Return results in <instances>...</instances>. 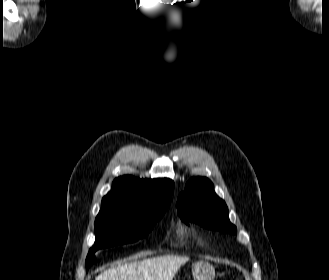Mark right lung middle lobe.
<instances>
[{
  "instance_id": "right-lung-middle-lobe-1",
  "label": "right lung middle lobe",
  "mask_w": 329,
  "mask_h": 280,
  "mask_svg": "<svg viewBox=\"0 0 329 280\" xmlns=\"http://www.w3.org/2000/svg\"><path fill=\"white\" fill-rule=\"evenodd\" d=\"M170 202L140 209L122 203L102 204L95 219L96 240L86 258V269L96 260L98 249L136 242L145 237L160 220Z\"/></svg>"
}]
</instances>
